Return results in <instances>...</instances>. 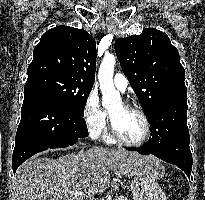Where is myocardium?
<instances>
[{
    "label": "myocardium",
    "mask_w": 205,
    "mask_h": 200,
    "mask_svg": "<svg viewBox=\"0 0 205 200\" xmlns=\"http://www.w3.org/2000/svg\"><path fill=\"white\" fill-rule=\"evenodd\" d=\"M123 107L127 110H130V111H133V112H136L138 113L141 118L143 119L144 121V125H145V131H144V134L142 136V138L138 141H128L126 139H124L120 133L117 131L113 121H112V118L110 116V131H111V137L118 143L122 144V145H125V146H129V147H139L141 145H143L144 143H146L151 135V123H150V120L147 116V114L144 112V110L134 104H131V103H123L122 104Z\"/></svg>",
    "instance_id": "f54148a6"
}]
</instances>
